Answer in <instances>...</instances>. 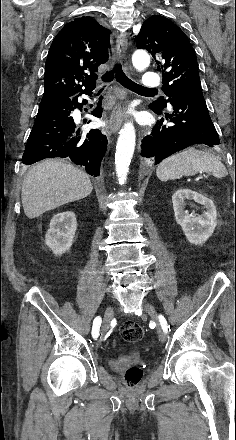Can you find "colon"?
I'll return each mask as SVG.
<instances>
[{
	"instance_id": "obj_1",
	"label": "colon",
	"mask_w": 236,
	"mask_h": 440,
	"mask_svg": "<svg viewBox=\"0 0 236 440\" xmlns=\"http://www.w3.org/2000/svg\"><path fill=\"white\" fill-rule=\"evenodd\" d=\"M123 339L127 342H138L143 336V328L140 324L128 321L120 329ZM125 383L128 387L137 386L142 379V371L138 367H131L125 372Z\"/></svg>"
}]
</instances>
